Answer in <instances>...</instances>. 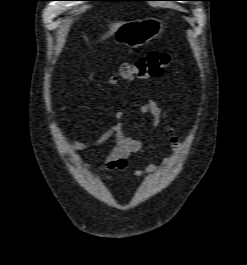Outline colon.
Instances as JSON below:
<instances>
[{
    "label": "colon",
    "instance_id": "obj_1",
    "mask_svg": "<svg viewBox=\"0 0 247 265\" xmlns=\"http://www.w3.org/2000/svg\"><path fill=\"white\" fill-rule=\"evenodd\" d=\"M171 62L170 54L151 51L134 61L123 63L118 72L110 78V83L118 85L122 81H131L135 78L159 77L164 74Z\"/></svg>",
    "mask_w": 247,
    "mask_h": 265
}]
</instances>
